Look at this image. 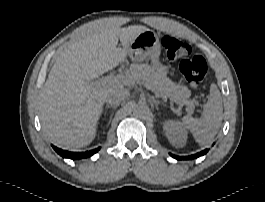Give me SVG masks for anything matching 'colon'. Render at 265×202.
Segmentation results:
<instances>
[{"instance_id":"colon-1","label":"colon","mask_w":265,"mask_h":202,"mask_svg":"<svg viewBox=\"0 0 265 202\" xmlns=\"http://www.w3.org/2000/svg\"><path fill=\"white\" fill-rule=\"evenodd\" d=\"M167 58L178 61L179 69L185 80L192 86H198L206 76V63L202 56L192 55L191 47L171 35H165L161 41Z\"/></svg>"}]
</instances>
